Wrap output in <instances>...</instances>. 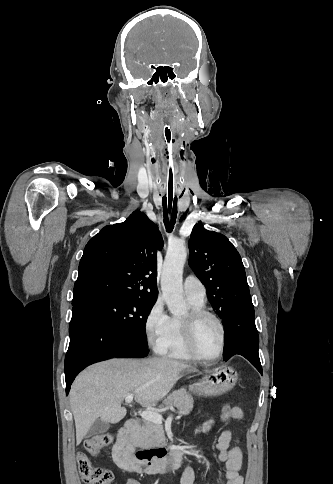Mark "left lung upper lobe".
<instances>
[{"instance_id":"left-lung-upper-lobe-1","label":"left lung upper lobe","mask_w":333,"mask_h":484,"mask_svg":"<svg viewBox=\"0 0 333 484\" xmlns=\"http://www.w3.org/2000/svg\"><path fill=\"white\" fill-rule=\"evenodd\" d=\"M189 248V264L224 321L233 307L251 298L241 257L226 236L208 231L202 224L193 227Z\"/></svg>"}]
</instances>
